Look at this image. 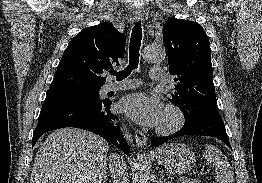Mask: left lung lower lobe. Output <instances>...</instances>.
I'll return each mask as SVG.
<instances>
[{
    "mask_svg": "<svg viewBox=\"0 0 262 183\" xmlns=\"http://www.w3.org/2000/svg\"><path fill=\"white\" fill-rule=\"evenodd\" d=\"M184 135L211 136L222 140L231 148L220 114H192L185 118V125L176 133L166 137H153L151 144L158 147L165 142Z\"/></svg>",
    "mask_w": 262,
    "mask_h": 183,
    "instance_id": "1",
    "label": "left lung lower lobe"
}]
</instances>
